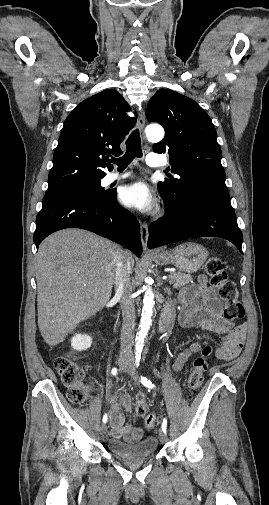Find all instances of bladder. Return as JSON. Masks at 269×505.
I'll return each instance as SVG.
<instances>
[{"mask_svg": "<svg viewBox=\"0 0 269 505\" xmlns=\"http://www.w3.org/2000/svg\"><path fill=\"white\" fill-rule=\"evenodd\" d=\"M108 448L115 456L126 459H140L153 456L158 448V439L147 436L136 442H125L112 438L108 441Z\"/></svg>", "mask_w": 269, "mask_h": 505, "instance_id": "obj_1", "label": "bladder"}]
</instances>
